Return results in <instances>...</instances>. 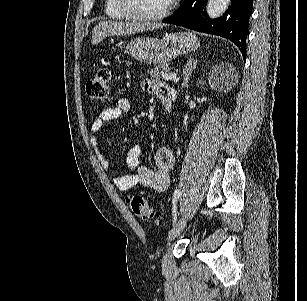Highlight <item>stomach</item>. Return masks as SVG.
<instances>
[{"instance_id":"0dacf381","label":"stomach","mask_w":307,"mask_h":301,"mask_svg":"<svg viewBox=\"0 0 307 301\" xmlns=\"http://www.w3.org/2000/svg\"><path fill=\"white\" fill-rule=\"evenodd\" d=\"M199 46L197 36L193 32H166L162 38L154 36H137L127 42L125 52L150 64H166L178 54H186Z\"/></svg>"}]
</instances>
